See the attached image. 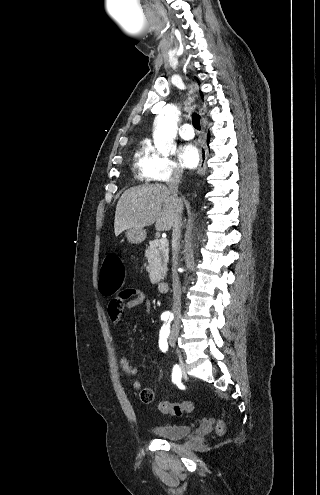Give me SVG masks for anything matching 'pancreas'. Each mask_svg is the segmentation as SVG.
<instances>
[{"label": "pancreas", "instance_id": "cf45deb5", "mask_svg": "<svg viewBox=\"0 0 320 495\" xmlns=\"http://www.w3.org/2000/svg\"><path fill=\"white\" fill-rule=\"evenodd\" d=\"M161 239H155L149 242L145 251V256L148 259V271L152 283H158L165 276L168 268L169 248L167 245L160 243Z\"/></svg>", "mask_w": 320, "mask_h": 495}]
</instances>
